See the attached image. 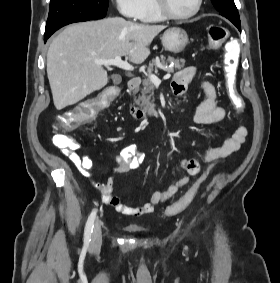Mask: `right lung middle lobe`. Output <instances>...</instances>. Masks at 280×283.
<instances>
[{"label":"right lung middle lobe","mask_w":280,"mask_h":283,"mask_svg":"<svg viewBox=\"0 0 280 283\" xmlns=\"http://www.w3.org/2000/svg\"><path fill=\"white\" fill-rule=\"evenodd\" d=\"M107 9L108 0H51L46 25L62 19H101Z\"/></svg>","instance_id":"right-lung-middle-lobe-1"}]
</instances>
